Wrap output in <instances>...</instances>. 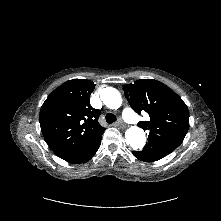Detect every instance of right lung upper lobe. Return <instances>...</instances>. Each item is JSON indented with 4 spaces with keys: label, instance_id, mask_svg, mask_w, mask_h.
<instances>
[{
    "label": "right lung upper lobe",
    "instance_id": "1",
    "mask_svg": "<svg viewBox=\"0 0 221 221\" xmlns=\"http://www.w3.org/2000/svg\"><path fill=\"white\" fill-rule=\"evenodd\" d=\"M95 85L90 80L73 79L52 91L40 110V127L50 149L67 159L104 133L100 110L90 105Z\"/></svg>",
    "mask_w": 221,
    "mask_h": 221
}]
</instances>
